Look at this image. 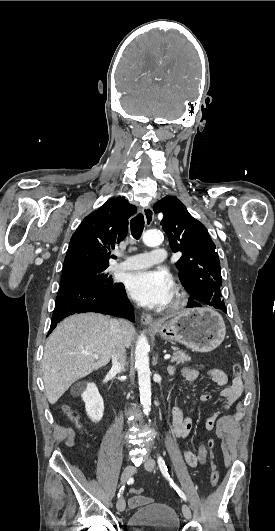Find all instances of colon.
<instances>
[{
	"label": "colon",
	"instance_id": "colon-1",
	"mask_svg": "<svg viewBox=\"0 0 275 531\" xmlns=\"http://www.w3.org/2000/svg\"><path fill=\"white\" fill-rule=\"evenodd\" d=\"M232 370L235 374H240L242 371L241 365L239 363H234ZM64 411H65V414L72 420H77L79 418V413L73 409L66 408ZM208 447L210 449V466H211L210 480H211V485L215 487L219 481V473L217 469L216 456L213 450L214 449L213 439L209 440ZM130 491H132L131 495H141V493H145V488L138 486L137 488H130Z\"/></svg>",
	"mask_w": 275,
	"mask_h": 531
}]
</instances>
